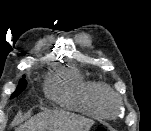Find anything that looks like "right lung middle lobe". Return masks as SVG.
Instances as JSON below:
<instances>
[{"label": "right lung middle lobe", "instance_id": "right-lung-middle-lobe-1", "mask_svg": "<svg viewBox=\"0 0 151 131\" xmlns=\"http://www.w3.org/2000/svg\"><path fill=\"white\" fill-rule=\"evenodd\" d=\"M26 85H27V81L25 80V76H23L20 81H19V84H18V87L17 89L15 90V92L11 95L10 99L18 96L25 88H26Z\"/></svg>", "mask_w": 151, "mask_h": 131}]
</instances>
